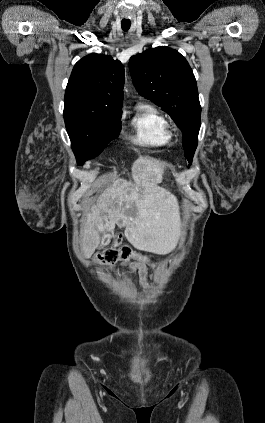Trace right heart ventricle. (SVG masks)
<instances>
[{
  "label": "right heart ventricle",
  "mask_w": 265,
  "mask_h": 423,
  "mask_svg": "<svg viewBox=\"0 0 265 423\" xmlns=\"http://www.w3.org/2000/svg\"><path fill=\"white\" fill-rule=\"evenodd\" d=\"M134 141L147 146H166L172 140V133L165 116L155 107L140 103L131 120Z\"/></svg>",
  "instance_id": "e07e8e85"
}]
</instances>
